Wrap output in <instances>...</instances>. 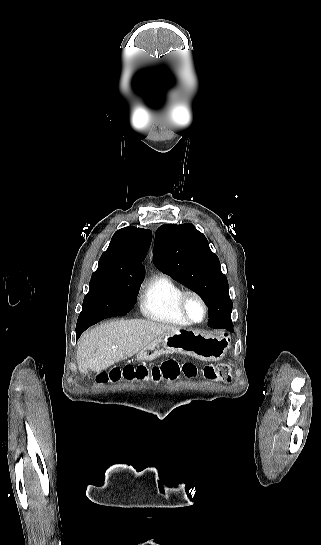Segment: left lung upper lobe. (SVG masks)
<instances>
[{
    "instance_id": "5c2ea615",
    "label": "left lung upper lobe",
    "mask_w": 321,
    "mask_h": 545,
    "mask_svg": "<svg viewBox=\"0 0 321 545\" xmlns=\"http://www.w3.org/2000/svg\"><path fill=\"white\" fill-rule=\"evenodd\" d=\"M154 261L159 269L196 292L208 310L231 316L226 276L206 237L194 225L165 224L155 234Z\"/></svg>"
}]
</instances>
